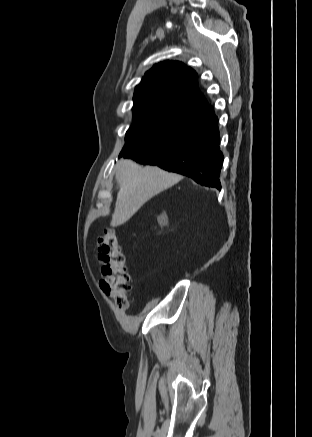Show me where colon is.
<instances>
[{
	"label": "colon",
	"mask_w": 312,
	"mask_h": 437,
	"mask_svg": "<svg viewBox=\"0 0 312 437\" xmlns=\"http://www.w3.org/2000/svg\"><path fill=\"white\" fill-rule=\"evenodd\" d=\"M99 260L102 263L100 287L115 304L126 309L129 305V273L120 240L113 230H107L98 238Z\"/></svg>",
	"instance_id": "1"
}]
</instances>
